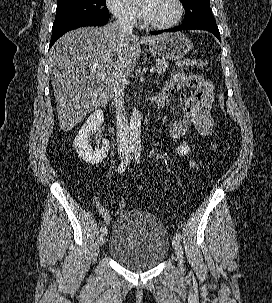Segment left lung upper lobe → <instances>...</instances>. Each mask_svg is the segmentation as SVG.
<instances>
[{
    "label": "left lung upper lobe",
    "instance_id": "5c2ea615",
    "mask_svg": "<svg viewBox=\"0 0 272 303\" xmlns=\"http://www.w3.org/2000/svg\"><path fill=\"white\" fill-rule=\"evenodd\" d=\"M185 8V16L182 25H194L207 22H215L210 0H181Z\"/></svg>",
    "mask_w": 272,
    "mask_h": 303
}]
</instances>
